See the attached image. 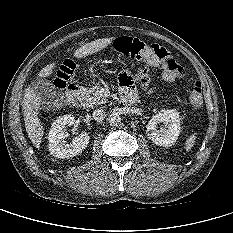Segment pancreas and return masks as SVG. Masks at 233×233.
<instances>
[{"label": "pancreas", "instance_id": "pancreas-1", "mask_svg": "<svg viewBox=\"0 0 233 233\" xmlns=\"http://www.w3.org/2000/svg\"><path fill=\"white\" fill-rule=\"evenodd\" d=\"M100 88V86H94L90 89L80 87V97L84 101L85 107H94L107 102V99L100 95Z\"/></svg>", "mask_w": 233, "mask_h": 233}]
</instances>
